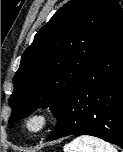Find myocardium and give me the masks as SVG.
Instances as JSON below:
<instances>
[{
    "mask_svg": "<svg viewBox=\"0 0 123 152\" xmlns=\"http://www.w3.org/2000/svg\"><path fill=\"white\" fill-rule=\"evenodd\" d=\"M51 116L45 110H36L30 113L24 122L28 132L38 134L43 132L50 124Z\"/></svg>",
    "mask_w": 123,
    "mask_h": 152,
    "instance_id": "f54148a6",
    "label": "myocardium"
}]
</instances>
